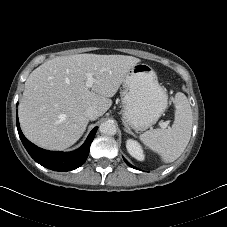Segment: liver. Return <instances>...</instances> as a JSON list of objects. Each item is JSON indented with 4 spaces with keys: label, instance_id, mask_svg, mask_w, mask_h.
<instances>
[{
    "label": "liver",
    "instance_id": "liver-1",
    "mask_svg": "<svg viewBox=\"0 0 227 227\" xmlns=\"http://www.w3.org/2000/svg\"><path fill=\"white\" fill-rule=\"evenodd\" d=\"M140 59L125 55L77 54L59 56L33 70L19 103L24 135L34 144L64 150L79 140L89 119L85 111L96 108L103 115L126 74ZM92 73L93 86L86 87Z\"/></svg>",
    "mask_w": 227,
    "mask_h": 227
}]
</instances>
